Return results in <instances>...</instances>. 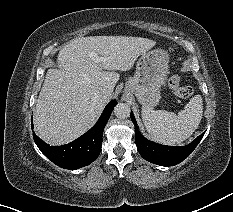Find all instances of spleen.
<instances>
[{"instance_id": "1", "label": "spleen", "mask_w": 233, "mask_h": 212, "mask_svg": "<svg viewBox=\"0 0 233 212\" xmlns=\"http://www.w3.org/2000/svg\"><path fill=\"white\" fill-rule=\"evenodd\" d=\"M202 97L196 95L178 114L142 106V119L149 135L156 141L175 145L188 139L202 119Z\"/></svg>"}]
</instances>
